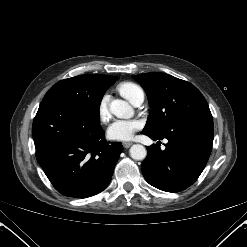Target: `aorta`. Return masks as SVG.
Returning <instances> with one entry per match:
<instances>
[{"label": "aorta", "mask_w": 247, "mask_h": 247, "mask_svg": "<svg viewBox=\"0 0 247 247\" xmlns=\"http://www.w3.org/2000/svg\"><path fill=\"white\" fill-rule=\"evenodd\" d=\"M110 111L118 118H129L133 114L132 107L128 102L115 99L110 103ZM147 155V150L143 145L134 144L130 148V156L134 160H143Z\"/></svg>", "instance_id": "1"}]
</instances>
